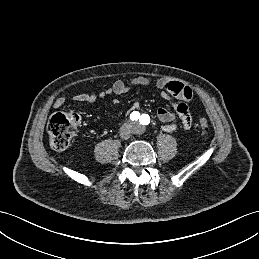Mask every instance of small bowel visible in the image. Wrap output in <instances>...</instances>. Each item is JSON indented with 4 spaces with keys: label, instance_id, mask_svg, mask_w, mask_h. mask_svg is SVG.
<instances>
[{
    "label": "small bowel",
    "instance_id": "c3829d8e",
    "mask_svg": "<svg viewBox=\"0 0 259 259\" xmlns=\"http://www.w3.org/2000/svg\"><path fill=\"white\" fill-rule=\"evenodd\" d=\"M155 86L159 90H163V97L168 100H171V97H174L179 102L171 100V103L176 111V114L180 120V125L184 130H189L192 126V118L188 110L186 102L190 101L192 97V91L189 87L178 81L164 80L160 79L152 83L149 79L145 77H138L129 82H124L118 80L112 84L111 87L96 93H80L73 97V100L76 102H84L93 104L97 99H102L109 95H123L131 91L132 89L139 87H148ZM66 102L65 97H59L54 101V107L60 108ZM139 104L135 102L131 110H137ZM176 114L169 111L166 108H159L157 110V118L162 123V130L168 133L174 132L177 129V124L174 122L176 119Z\"/></svg>",
    "mask_w": 259,
    "mask_h": 259
}]
</instances>
